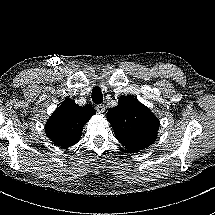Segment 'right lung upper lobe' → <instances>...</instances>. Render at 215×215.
Returning <instances> with one entry per match:
<instances>
[{
    "label": "right lung upper lobe",
    "instance_id": "1",
    "mask_svg": "<svg viewBox=\"0 0 215 215\" xmlns=\"http://www.w3.org/2000/svg\"><path fill=\"white\" fill-rule=\"evenodd\" d=\"M95 113L92 106L82 107L67 99L47 120L46 134L57 146L71 147L79 141L84 125Z\"/></svg>",
    "mask_w": 215,
    "mask_h": 215
}]
</instances>
